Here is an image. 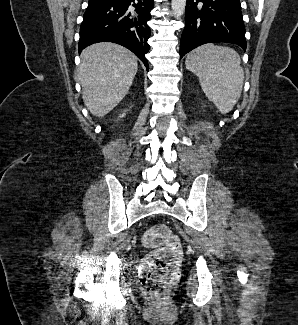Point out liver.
Returning <instances> with one entry per match:
<instances>
[{"instance_id":"obj_1","label":"liver","mask_w":298,"mask_h":325,"mask_svg":"<svg viewBox=\"0 0 298 325\" xmlns=\"http://www.w3.org/2000/svg\"><path fill=\"white\" fill-rule=\"evenodd\" d=\"M137 68V56L120 44L96 42L84 48L79 78L91 114L99 118L108 114L127 94Z\"/></svg>"}]
</instances>
